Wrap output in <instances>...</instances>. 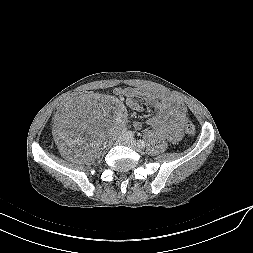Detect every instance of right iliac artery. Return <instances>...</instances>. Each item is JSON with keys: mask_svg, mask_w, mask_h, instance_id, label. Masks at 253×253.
<instances>
[{"mask_svg": "<svg viewBox=\"0 0 253 253\" xmlns=\"http://www.w3.org/2000/svg\"><path fill=\"white\" fill-rule=\"evenodd\" d=\"M125 135H126L127 137H133L132 131H127V132H125Z\"/></svg>", "mask_w": 253, "mask_h": 253, "instance_id": "1", "label": "right iliac artery"}]
</instances>
